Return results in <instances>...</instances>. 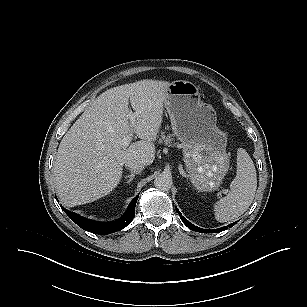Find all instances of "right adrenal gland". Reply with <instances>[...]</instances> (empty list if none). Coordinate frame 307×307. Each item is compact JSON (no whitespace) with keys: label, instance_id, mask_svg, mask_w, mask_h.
<instances>
[{"label":"right adrenal gland","instance_id":"obj_1","mask_svg":"<svg viewBox=\"0 0 307 307\" xmlns=\"http://www.w3.org/2000/svg\"><path fill=\"white\" fill-rule=\"evenodd\" d=\"M135 174H139V173L133 171V172H131L130 175H126V176H125L126 179L129 178L128 181H127L128 184H130V182L134 179Z\"/></svg>","mask_w":307,"mask_h":307}]
</instances>
